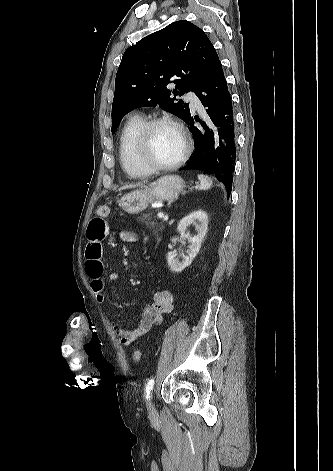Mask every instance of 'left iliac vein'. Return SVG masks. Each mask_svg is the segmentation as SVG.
Instances as JSON below:
<instances>
[{
	"instance_id": "4c4485c4",
	"label": "left iliac vein",
	"mask_w": 333,
	"mask_h": 471,
	"mask_svg": "<svg viewBox=\"0 0 333 471\" xmlns=\"http://www.w3.org/2000/svg\"><path fill=\"white\" fill-rule=\"evenodd\" d=\"M155 413H156V410H155L153 400L150 399V401H149V414H150V416H153Z\"/></svg>"
}]
</instances>
